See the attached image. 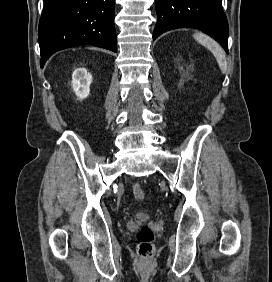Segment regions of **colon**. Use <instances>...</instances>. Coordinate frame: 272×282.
<instances>
[{"label": "colon", "instance_id": "colon-1", "mask_svg": "<svg viewBox=\"0 0 272 282\" xmlns=\"http://www.w3.org/2000/svg\"><path fill=\"white\" fill-rule=\"evenodd\" d=\"M132 192L136 199L143 200L145 194L138 183L132 185ZM138 241V253L142 261H150L154 253L153 239L154 235L150 228L143 226L139 229L136 235Z\"/></svg>", "mask_w": 272, "mask_h": 282}]
</instances>
